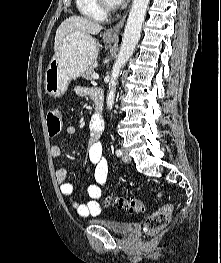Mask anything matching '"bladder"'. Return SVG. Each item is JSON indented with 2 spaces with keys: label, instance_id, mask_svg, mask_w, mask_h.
Segmentation results:
<instances>
[{
  "label": "bladder",
  "instance_id": "1",
  "mask_svg": "<svg viewBox=\"0 0 221 263\" xmlns=\"http://www.w3.org/2000/svg\"><path fill=\"white\" fill-rule=\"evenodd\" d=\"M90 223L102 226L118 234H127L133 229V223L126 220L91 219Z\"/></svg>",
  "mask_w": 221,
  "mask_h": 263
}]
</instances>
